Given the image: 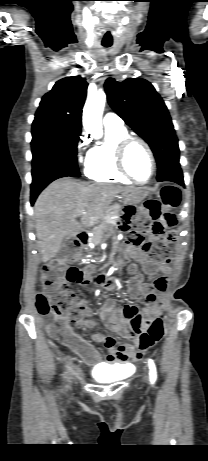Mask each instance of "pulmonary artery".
Returning <instances> with one entry per match:
<instances>
[{
    "label": "pulmonary artery",
    "instance_id": "1",
    "mask_svg": "<svg viewBox=\"0 0 208 461\" xmlns=\"http://www.w3.org/2000/svg\"><path fill=\"white\" fill-rule=\"evenodd\" d=\"M103 123L105 127H122L123 120L115 113L109 112L103 118Z\"/></svg>",
    "mask_w": 208,
    "mask_h": 461
}]
</instances>
